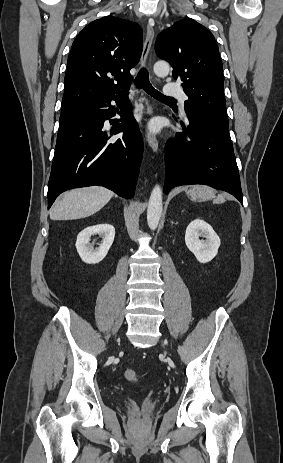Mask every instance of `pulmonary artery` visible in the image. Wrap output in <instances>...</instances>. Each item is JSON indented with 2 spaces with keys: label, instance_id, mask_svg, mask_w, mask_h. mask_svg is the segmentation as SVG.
I'll list each match as a JSON object with an SVG mask.
<instances>
[{
  "label": "pulmonary artery",
  "instance_id": "obj_1",
  "mask_svg": "<svg viewBox=\"0 0 283 463\" xmlns=\"http://www.w3.org/2000/svg\"><path fill=\"white\" fill-rule=\"evenodd\" d=\"M163 92L164 95L167 97L178 98L182 101H185L187 99V96L184 93V91L181 88L175 86L173 83L166 84L163 88Z\"/></svg>",
  "mask_w": 283,
  "mask_h": 463
}]
</instances>
